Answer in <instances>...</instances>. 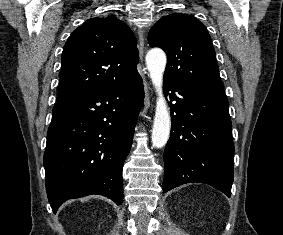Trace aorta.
<instances>
[{"label":"aorta","mask_w":283,"mask_h":235,"mask_svg":"<svg viewBox=\"0 0 283 235\" xmlns=\"http://www.w3.org/2000/svg\"><path fill=\"white\" fill-rule=\"evenodd\" d=\"M166 62V55L161 49H151L146 55L147 69L157 93L155 117L152 129V145L156 148L165 146L169 139L171 127L170 113L162 90Z\"/></svg>","instance_id":"762f6f07"}]
</instances>
